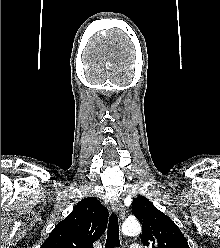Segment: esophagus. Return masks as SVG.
<instances>
[{
    "label": "esophagus",
    "instance_id": "1",
    "mask_svg": "<svg viewBox=\"0 0 220 248\" xmlns=\"http://www.w3.org/2000/svg\"><path fill=\"white\" fill-rule=\"evenodd\" d=\"M111 207H112V210L117 214L119 215V217L123 218L124 215H125V208L124 206L122 205V203L118 200H113L111 202Z\"/></svg>",
    "mask_w": 220,
    "mask_h": 248
}]
</instances>
